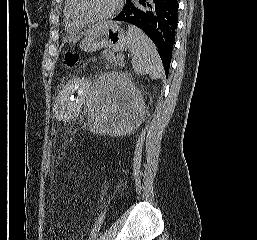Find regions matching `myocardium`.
Instances as JSON below:
<instances>
[{"label": "myocardium", "mask_w": 257, "mask_h": 240, "mask_svg": "<svg viewBox=\"0 0 257 240\" xmlns=\"http://www.w3.org/2000/svg\"><path fill=\"white\" fill-rule=\"evenodd\" d=\"M121 1L122 0H114V4H113L112 8L106 14H104L98 18L91 19V20H83L77 16V14L75 12L76 0H68V12H69L70 18L72 19V21L75 24H77L78 26H81V27H90V26H94V25L100 24L102 22H105L108 19H110L111 17H113V15L119 9V7L121 5Z\"/></svg>", "instance_id": "f54148a6"}]
</instances>
